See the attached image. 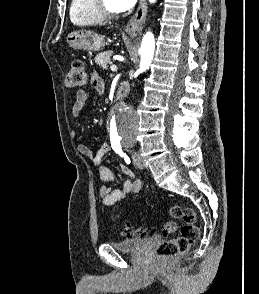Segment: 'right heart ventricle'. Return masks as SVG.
<instances>
[{"instance_id": "right-heart-ventricle-1", "label": "right heart ventricle", "mask_w": 259, "mask_h": 294, "mask_svg": "<svg viewBox=\"0 0 259 294\" xmlns=\"http://www.w3.org/2000/svg\"><path fill=\"white\" fill-rule=\"evenodd\" d=\"M69 16L76 26H89L102 23L93 7V0H71Z\"/></svg>"}]
</instances>
